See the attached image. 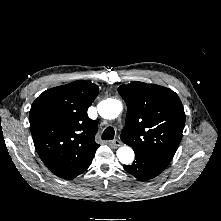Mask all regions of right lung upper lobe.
<instances>
[{
    "instance_id": "1",
    "label": "right lung upper lobe",
    "mask_w": 221,
    "mask_h": 221,
    "mask_svg": "<svg viewBox=\"0 0 221 221\" xmlns=\"http://www.w3.org/2000/svg\"><path fill=\"white\" fill-rule=\"evenodd\" d=\"M98 86L85 80L44 91L30 109V129L36 151L56 176L72 179L91 164L99 145L97 122L87 110Z\"/></svg>"
}]
</instances>
